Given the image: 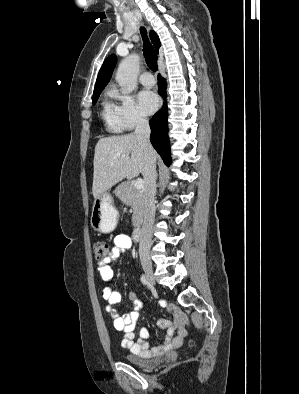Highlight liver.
<instances>
[{"label":"liver","mask_w":299,"mask_h":394,"mask_svg":"<svg viewBox=\"0 0 299 394\" xmlns=\"http://www.w3.org/2000/svg\"><path fill=\"white\" fill-rule=\"evenodd\" d=\"M156 159V152L153 150ZM92 192L100 197L125 178L143 174L144 150L134 133L99 139L95 146Z\"/></svg>","instance_id":"liver-1"}]
</instances>
